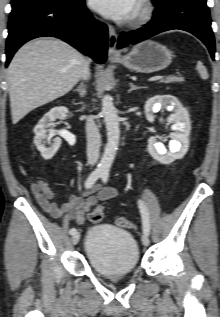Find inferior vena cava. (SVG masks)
I'll use <instances>...</instances> for the list:
<instances>
[{
	"label": "inferior vena cava",
	"instance_id": "obj_1",
	"mask_svg": "<svg viewBox=\"0 0 220 317\" xmlns=\"http://www.w3.org/2000/svg\"><path fill=\"white\" fill-rule=\"evenodd\" d=\"M90 77L89 62L86 61L83 68L81 78L88 80ZM86 135H87V161L88 164L94 166L99 159L101 138L97 125L93 118L88 117L86 120Z\"/></svg>",
	"mask_w": 220,
	"mask_h": 317
}]
</instances>
